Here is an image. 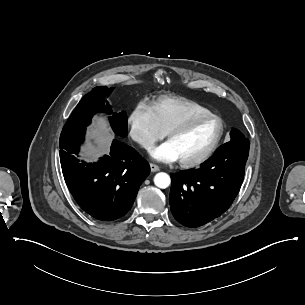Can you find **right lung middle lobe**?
I'll list each match as a JSON object with an SVG mask.
<instances>
[{
  "label": "right lung middle lobe",
  "instance_id": "dd1d6c3e",
  "mask_svg": "<svg viewBox=\"0 0 305 305\" xmlns=\"http://www.w3.org/2000/svg\"><path fill=\"white\" fill-rule=\"evenodd\" d=\"M113 88L98 86L86 94L71 114L63 127V131L86 128L91 122V118L98 112L111 114V106L106 102V98L111 94ZM114 132L120 136L127 135V115L124 111L113 113L109 117Z\"/></svg>",
  "mask_w": 305,
  "mask_h": 305
}]
</instances>
